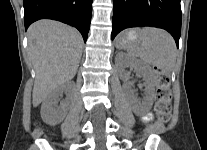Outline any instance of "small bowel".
<instances>
[{"instance_id":"small-bowel-1","label":"small bowel","mask_w":207,"mask_h":150,"mask_svg":"<svg viewBox=\"0 0 207 150\" xmlns=\"http://www.w3.org/2000/svg\"><path fill=\"white\" fill-rule=\"evenodd\" d=\"M150 118H151V115L150 114H148V115L145 116V120L146 121L150 120Z\"/></svg>"}]
</instances>
